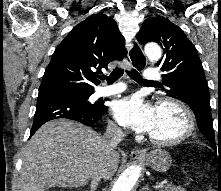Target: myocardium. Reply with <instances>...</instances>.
<instances>
[{"mask_svg":"<svg viewBox=\"0 0 221 191\" xmlns=\"http://www.w3.org/2000/svg\"><path fill=\"white\" fill-rule=\"evenodd\" d=\"M164 106H171L176 108L184 118V127L182 131L171 138H159L152 134L149 135V139L152 143L160 146H172L182 143L187 140L195 130V118L190 108L181 100L173 97L160 98L157 103V109Z\"/></svg>","mask_w":221,"mask_h":191,"instance_id":"obj_1","label":"myocardium"}]
</instances>
